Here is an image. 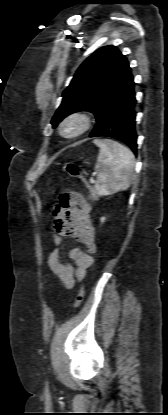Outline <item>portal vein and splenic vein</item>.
<instances>
[{"label":"portal vein and splenic vein","instance_id":"portal-vein-and-splenic-vein-1","mask_svg":"<svg viewBox=\"0 0 168 415\" xmlns=\"http://www.w3.org/2000/svg\"><path fill=\"white\" fill-rule=\"evenodd\" d=\"M90 182H91V183H94V182H95V180H94V178H93V177H91V178H90Z\"/></svg>","mask_w":168,"mask_h":415}]
</instances>
